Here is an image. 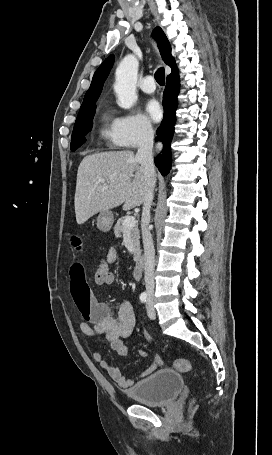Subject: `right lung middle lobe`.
<instances>
[{
  "label": "right lung middle lobe",
  "mask_w": 272,
  "mask_h": 455,
  "mask_svg": "<svg viewBox=\"0 0 272 455\" xmlns=\"http://www.w3.org/2000/svg\"><path fill=\"white\" fill-rule=\"evenodd\" d=\"M96 105L95 102L82 106L76 119L72 139H71V150L75 151L82 144L86 142L85 136L92 129V121L95 114Z\"/></svg>",
  "instance_id": "dd1d6c3e"
}]
</instances>
